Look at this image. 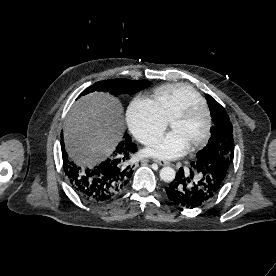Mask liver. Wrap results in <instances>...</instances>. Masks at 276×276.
Segmentation results:
<instances>
[{
  "mask_svg": "<svg viewBox=\"0 0 276 276\" xmlns=\"http://www.w3.org/2000/svg\"><path fill=\"white\" fill-rule=\"evenodd\" d=\"M123 131L120 102L106 93H90L76 101L66 117L65 148L75 163L92 167L115 150Z\"/></svg>",
  "mask_w": 276,
  "mask_h": 276,
  "instance_id": "liver-1",
  "label": "liver"
}]
</instances>
